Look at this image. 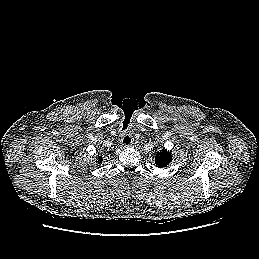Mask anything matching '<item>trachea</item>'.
I'll use <instances>...</instances> for the list:
<instances>
[{
	"mask_svg": "<svg viewBox=\"0 0 259 259\" xmlns=\"http://www.w3.org/2000/svg\"><path fill=\"white\" fill-rule=\"evenodd\" d=\"M127 128V125H123V129L122 130H125Z\"/></svg>",
	"mask_w": 259,
	"mask_h": 259,
	"instance_id": "3493384b",
	"label": "trachea"
}]
</instances>
